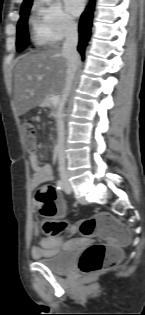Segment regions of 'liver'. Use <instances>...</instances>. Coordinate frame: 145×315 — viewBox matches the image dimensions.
Wrapping results in <instances>:
<instances>
[{
	"instance_id": "6515ba94",
	"label": "liver",
	"mask_w": 145,
	"mask_h": 315,
	"mask_svg": "<svg viewBox=\"0 0 145 315\" xmlns=\"http://www.w3.org/2000/svg\"><path fill=\"white\" fill-rule=\"evenodd\" d=\"M67 61L58 45L22 55L14 74L13 111L23 115L49 94L62 93Z\"/></svg>"
}]
</instances>
